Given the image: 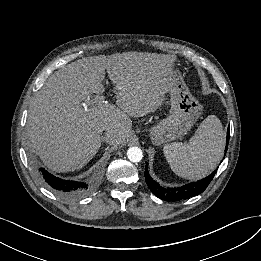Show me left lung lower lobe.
<instances>
[{"label":"left lung lower lobe","mask_w":261,"mask_h":261,"mask_svg":"<svg viewBox=\"0 0 261 261\" xmlns=\"http://www.w3.org/2000/svg\"><path fill=\"white\" fill-rule=\"evenodd\" d=\"M229 137L230 136H229V129H228L225 152L227 151L228 148ZM215 173L216 170L213 171L212 174H210L204 179H201L197 182H191L189 184L183 185L178 188H164L161 187L156 181L152 179V177L148 173L147 165H146L145 180L152 193L155 194L158 198L164 201L174 202V201L188 199L190 197L202 193L213 179Z\"/></svg>","instance_id":"left-lung-lower-lobe-1"}]
</instances>
